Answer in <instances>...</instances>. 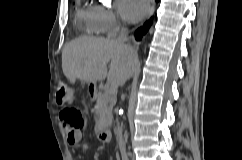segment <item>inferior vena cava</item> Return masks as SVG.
I'll list each match as a JSON object with an SVG mask.
<instances>
[{
	"mask_svg": "<svg viewBox=\"0 0 242 160\" xmlns=\"http://www.w3.org/2000/svg\"><path fill=\"white\" fill-rule=\"evenodd\" d=\"M128 41V29L126 27H122L119 33L116 42L122 46L127 47L126 50H122V58H120V63L118 67L120 69L121 79H128L130 77V73H138V68H133V63H136L138 59V52L136 51V47H131L127 44ZM117 126L115 128V135L117 138L118 146L120 149L122 160H128V156L126 153V143L123 139L122 129L119 126L118 120H116Z\"/></svg>",
	"mask_w": 242,
	"mask_h": 160,
	"instance_id": "602c4592",
	"label": "inferior vena cava"
}]
</instances>
